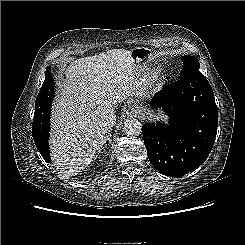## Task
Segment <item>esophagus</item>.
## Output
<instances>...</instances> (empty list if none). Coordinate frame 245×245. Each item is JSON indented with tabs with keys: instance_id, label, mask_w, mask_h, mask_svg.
<instances>
[{
	"instance_id": "1",
	"label": "esophagus",
	"mask_w": 245,
	"mask_h": 245,
	"mask_svg": "<svg viewBox=\"0 0 245 245\" xmlns=\"http://www.w3.org/2000/svg\"><path fill=\"white\" fill-rule=\"evenodd\" d=\"M131 113H133V114H134V113H137V112H136V110H132V111H131Z\"/></svg>"
}]
</instances>
